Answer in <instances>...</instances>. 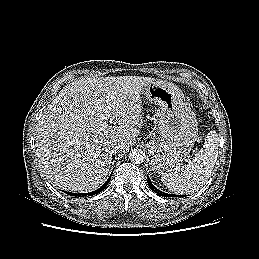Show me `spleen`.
<instances>
[{"instance_id":"3e777b00","label":"spleen","mask_w":259,"mask_h":259,"mask_svg":"<svg viewBox=\"0 0 259 259\" xmlns=\"http://www.w3.org/2000/svg\"><path fill=\"white\" fill-rule=\"evenodd\" d=\"M219 136L215 130L205 138L203 148L188 161L181 171H169L161 176L164 185L177 194H191L209 179L218 156Z\"/></svg>"}]
</instances>
